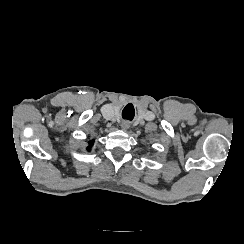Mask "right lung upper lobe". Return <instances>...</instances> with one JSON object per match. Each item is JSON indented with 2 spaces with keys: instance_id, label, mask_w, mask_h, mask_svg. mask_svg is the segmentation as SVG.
Wrapping results in <instances>:
<instances>
[{
  "instance_id": "right-lung-upper-lobe-1",
  "label": "right lung upper lobe",
  "mask_w": 244,
  "mask_h": 244,
  "mask_svg": "<svg viewBox=\"0 0 244 244\" xmlns=\"http://www.w3.org/2000/svg\"><path fill=\"white\" fill-rule=\"evenodd\" d=\"M93 144H94V140H91V141L89 142V146L87 147V150H88V151L91 150V147L93 146Z\"/></svg>"
}]
</instances>
